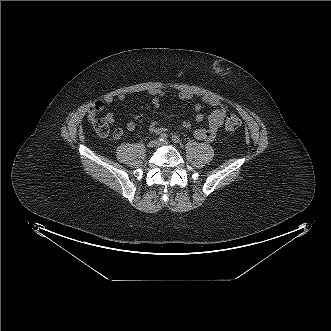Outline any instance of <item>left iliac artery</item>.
Here are the masks:
<instances>
[{
	"label": "left iliac artery",
	"mask_w": 331,
	"mask_h": 331,
	"mask_svg": "<svg viewBox=\"0 0 331 331\" xmlns=\"http://www.w3.org/2000/svg\"><path fill=\"white\" fill-rule=\"evenodd\" d=\"M172 141H173L174 143H179V142H180V138H179V136H178V135H173V136H172Z\"/></svg>",
	"instance_id": "44dca946"
}]
</instances>
